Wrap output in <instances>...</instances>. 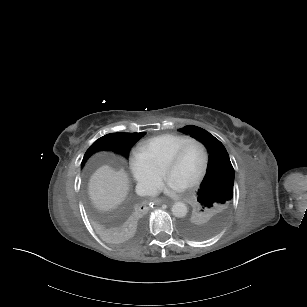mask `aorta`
Returning <instances> with one entry per match:
<instances>
[{
	"label": "aorta",
	"mask_w": 307,
	"mask_h": 307,
	"mask_svg": "<svg viewBox=\"0 0 307 307\" xmlns=\"http://www.w3.org/2000/svg\"><path fill=\"white\" fill-rule=\"evenodd\" d=\"M172 214L177 218H182L187 214V207L183 202H175L171 207Z\"/></svg>",
	"instance_id": "obj_1"
}]
</instances>
